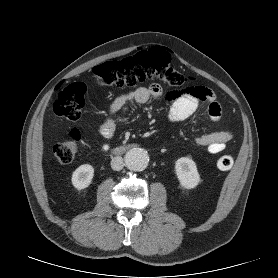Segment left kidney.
Returning a JSON list of instances; mask_svg holds the SVG:
<instances>
[{"instance_id":"obj_1","label":"left kidney","mask_w":278,"mask_h":278,"mask_svg":"<svg viewBox=\"0 0 278 278\" xmlns=\"http://www.w3.org/2000/svg\"><path fill=\"white\" fill-rule=\"evenodd\" d=\"M175 171L180 184L186 189H193L200 182L197 166L188 157H181L176 161Z\"/></svg>"}]
</instances>
